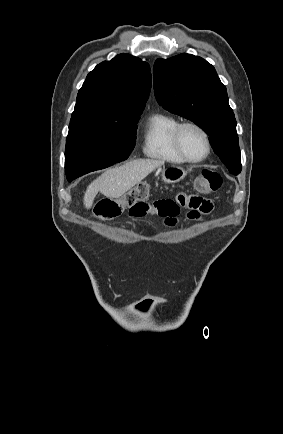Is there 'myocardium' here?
<instances>
[{"instance_id": "obj_1", "label": "myocardium", "mask_w": 283, "mask_h": 434, "mask_svg": "<svg viewBox=\"0 0 283 434\" xmlns=\"http://www.w3.org/2000/svg\"><path fill=\"white\" fill-rule=\"evenodd\" d=\"M187 127H193L196 130H198L202 134V136H203V138L205 140L206 152H205V154L203 156H201L199 158H191V157H189L185 153V151H184V149L182 147V144H181V133ZM173 144H174L175 150L180 155V157L184 161L189 162V163H199V162H202V161L206 160L207 157L210 155L211 148H212L211 147V140H210L209 134L207 133V131L200 124H198V123H196L194 121L180 122L176 126V128L174 130V133H173Z\"/></svg>"}]
</instances>
